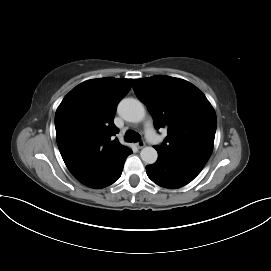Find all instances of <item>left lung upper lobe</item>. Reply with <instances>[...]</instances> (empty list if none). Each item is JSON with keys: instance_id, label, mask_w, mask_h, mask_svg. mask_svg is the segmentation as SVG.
Returning <instances> with one entry per match:
<instances>
[{"instance_id": "1", "label": "left lung upper lobe", "mask_w": 271, "mask_h": 271, "mask_svg": "<svg viewBox=\"0 0 271 271\" xmlns=\"http://www.w3.org/2000/svg\"><path fill=\"white\" fill-rule=\"evenodd\" d=\"M137 97L148 107L156 129L167 137L156 149L206 164L213 150L217 119L205 95L193 84L157 75L134 79Z\"/></svg>"}]
</instances>
